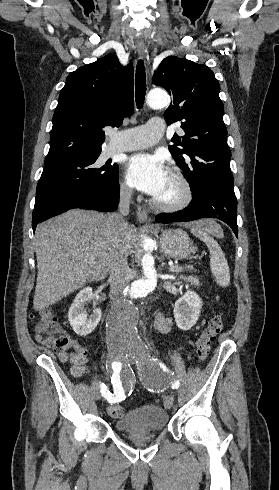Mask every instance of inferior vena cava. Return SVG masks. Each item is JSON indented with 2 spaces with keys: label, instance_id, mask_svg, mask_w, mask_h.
I'll use <instances>...</instances> for the list:
<instances>
[{
  "label": "inferior vena cava",
  "instance_id": "inferior-vena-cava-1",
  "mask_svg": "<svg viewBox=\"0 0 279 490\" xmlns=\"http://www.w3.org/2000/svg\"><path fill=\"white\" fill-rule=\"evenodd\" d=\"M132 196L131 188H121L118 204V212H113L108 216V226H116L120 230L121 236L127 238L130 232H127L129 224L125 222L124 216H128L130 210V200ZM130 268L127 262V256H117V260L113 262L112 268H110L109 284L110 292L109 298L112 300V304H116L119 296H122L123 290L128 286L130 280Z\"/></svg>",
  "mask_w": 279,
  "mask_h": 490
}]
</instances>
